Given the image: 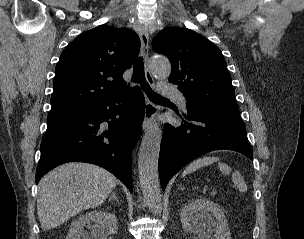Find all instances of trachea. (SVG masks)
<instances>
[{
    "mask_svg": "<svg viewBox=\"0 0 304 239\" xmlns=\"http://www.w3.org/2000/svg\"><path fill=\"white\" fill-rule=\"evenodd\" d=\"M132 80L141 85V88L143 89V91L146 93V95L149 97V99L152 100L153 102L169 101L167 98H164V97L158 95L157 93H155L149 86L148 82L145 79L144 65H143L142 57H139L134 64V74H133Z\"/></svg>",
    "mask_w": 304,
    "mask_h": 239,
    "instance_id": "trachea-1",
    "label": "trachea"
}]
</instances>
